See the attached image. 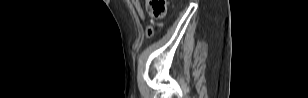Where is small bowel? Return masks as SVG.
Listing matches in <instances>:
<instances>
[{
	"mask_svg": "<svg viewBox=\"0 0 308 98\" xmlns=\"http://www.w3.org/2000/svg\"><path fill=\"white\" fill-rule=\"evenodd\" d=\"M132 3H133V5H134L135 9L137 10V12H138L140 18H141L142 20H145V13H144V10H143V8H142V6H141L140 1H139V0H133ZM148 33L151 35V34L153 33V29H152L151 32H150V31H149V28H148Z\"/></svg>",
	"mask_w": 308,
	"mask_h": 98,
	"instance_id": "obj_1",
	"label": "small bowel"
}]
</instances>
